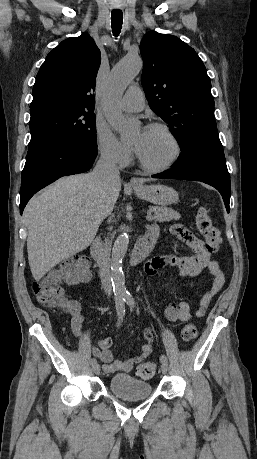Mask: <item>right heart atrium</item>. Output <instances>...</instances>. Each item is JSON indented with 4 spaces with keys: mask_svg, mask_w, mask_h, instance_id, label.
I'll return each instance as SVG.
<instances>
[{
    "mask_svg": "<svg viewBox=\"0 0 257 459\" xmlns=\"http://www.w3.org/2000/svg\"><path fill=\"white\" fill-rule=\"evenodd\" d=\"M97 147L101 157L109 163L125 166L132 158V148L121 142L110 128L102 123L96 125Z\"/></svg>",
    "mask_w": 257,
    "mask_h": 459,
    "instance_id": "1",
    "label": "right heart atrium"
}]
</instances>
